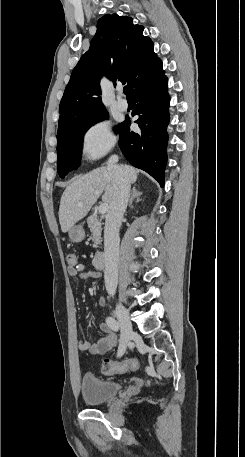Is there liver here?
I'll use <instances>...</instances> for the list:
<instances>
[{
    "instance_id": "1",
    "label": "liver",
    "mask_w": 245,
    "mask_h": 457,
    "mask_svg": "<svg viewBox=\"0 0 245 457\" xmlns=\"http://www.w3.org/2000/svg\"><path fill=\"white\" fill-rule=\"evenodd\" d=\"M121 168L125 170L130 182H136L137 168L130 164H123ZM103 190H105L102 196L103 202H111L114 186L107 166H99L79 178H73L66 186L60 200L58 214L62 233H67L75 222L86 216Z\"/></svg>"
}]
</instances>
